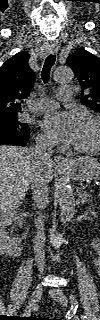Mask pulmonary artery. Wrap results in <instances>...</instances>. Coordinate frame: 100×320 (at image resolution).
I'll use <instances>...</instances> for the list:
<instances>
[{
  "label": "pulmonary artery",
  "mask_w": 100,
  "mask_h": 320,
  "mask_svg": "<svg viewBox=\"0 0 100 320\" xmlns=\"http://www.w3.org/2000/svg\"><path fill=\"white\" fill-rule=\"evenodd\" d=\"M72 86L64 85L58 88V97L62 102H69L72 100ZM57 103L48 98L38 99L29 104V109L35 112L49 111L54 109Z\"/></svg>",
  "instance_id": "obj_1"
}]
</instances>
